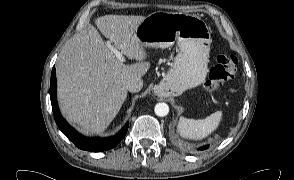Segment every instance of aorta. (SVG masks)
<instances>
[{
	"label": "aorta",
	"mask_w": 294,
	"mask_h": 180,
	"mask_svg": "<svg viewBox=\"0 0 294 180\" xmlns=\"http://www.w3.org/2000/svg\"><path fill=\"white\" fill-rule=\"evenodd\" d=\"M154 111L157 116L164 117L167 116L169 113V106L164 102L157 103L155 105Z\"/></svg>",
	"instance_id": "1"
}]
</instances>
